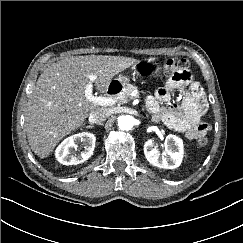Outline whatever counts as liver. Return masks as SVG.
<instances>
[{"mask_svg":"<svg viewBox=\"0 0 243 243\" xmlns=\"http://www.w3.org/2000/svg\"><path fill=\"white\" fill-rule=\"evenodd\" d=\"M134 62L130 57L86 55L48 66L38 78L25 111L27 138L34 153L40 158L49 156L60 140L99 108L85 97L90 75L96 76V89L106 92L112 78Z\"/></svg>","mask_w":243,"mask_h":243,"instance_id":"obj_1","label":"liver"}]
</instances>
